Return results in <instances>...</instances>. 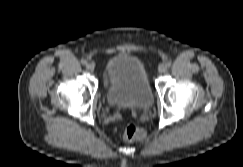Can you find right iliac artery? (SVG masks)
Listing matches in <instances>:
<instances>
[{
    "label": "right iliac artery",
    "instance_id": "right-iliac-artery-1",
    "mask_svg": "<svg viewBox=\"0 0 243 167\" xmlns=\"http://www.w3.org/2000/svg\"><path fill=\"white\" fill-rule=\"evenodd\" d=\"M81 63H82L83 65H86V64H87V60H86V59H82V60H81Z\"/></svg>",
    "mask_w": 243,
    "mask_h": 167
}]
</instances>
